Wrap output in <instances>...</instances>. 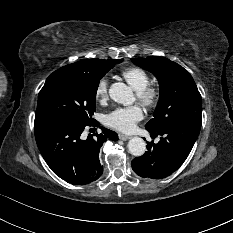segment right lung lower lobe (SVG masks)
<instances>
[{
	"label": "right lung lower lobe",
	"mask_w": 233,
	"mask_h": 233,
	"mask_svg": "<svg viewBox=\"0 0 233 233\" xmlns=\"http://www.w3.org/2000/svg\"><path fill=\"white\" fill-rule=\"evenodd\" d=\"M96 122L79 123L66 119H35V138L44 160L61 179L75 185L97 180L103 173L98 155L106 140H118V135L101 127L102 132L83 138L86 126ZM95 135V134H94Z\"/></svg>",
	"instance_id": "1"
}]
</instances>
